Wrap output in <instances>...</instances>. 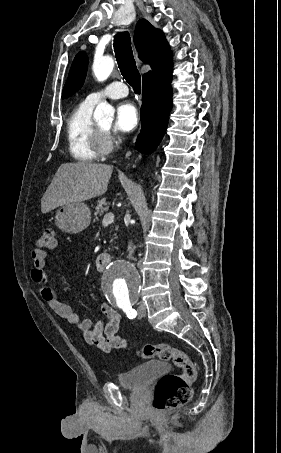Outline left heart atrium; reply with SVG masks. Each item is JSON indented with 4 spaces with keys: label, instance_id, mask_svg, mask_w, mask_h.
<instances>
[{
    "label": "left heart atrium",
    "instance_id": "1",
    "mask_svg": "<svg viewBox=\"0 0 281 453\" xmlns=\"http://www.w3.org/2000/svg\"><path fill=\"white\" fill-rule=\"evenodd\" d=\"M139 122V112L135 105L128 101L119 104L114 129L117 131H131L137 127Z\"/></svg>",
    "mask_w": 281,
    "mask_h": 453
}]
</instances>
